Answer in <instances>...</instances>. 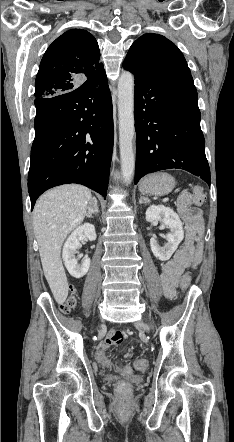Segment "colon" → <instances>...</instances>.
<instances>
[{
  "mask_svg": "<svg viewBox=\"0 0 234 442\" xmlns=\"http://www.w3.org/2000/svg\"><path fill=\"white\" fill-rule=\"evenodd\" d=\"M205 193L200 186H195L193 189V200L195 205L201 206L205 201ZM195 261L193 262L194 268H199L200 264L203 263V256L201 254L200 247L197 248L196 254L194 256ZM191 278L189 274H185L181 279V287L183 289H187L190 286ZM77 305V295L76 290L74 288L71 289V294L66 299V301L62 304L60 307L61 311L64 314H69ZM119 353H122V350H119ZM95 358L98 362L112 367L117 373L122 375H128L132 372V367L129 365L128 361L123 360L121 363H112L107 355V350L103 347L98 348V350L95 351ZM135 366L137 369H143L146 366L145 359L143 357H140L136 363ZM116 389L119 390L121 393H127L129 389L132 387L131 380H116L115 382Z\"/></svg>",
  "mask_w": 234,
  "mask_h": 442,
  "instance_id": "colon-1",
  "label": "colon"
}]
</instances>
